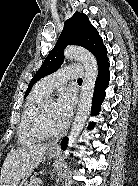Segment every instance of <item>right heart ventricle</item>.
I'll use <instances>...</instances> for the list:
<instances>
[{"label": "right heart ventricle", "mask_w": 138, "mask_h": 186, "mask_svg": "<svg viewBox=\"0 0 138 186\" xmlns=\"http://www.w3.org/2000/svg\"><path fill=\"white\" fill-rule=\"evenodd\" d=\"M49 94L50 93L42 87L40 81L31 91L17 129V141L20 145L29 146L40 140L30 133L28 129V120L33 110L40 104L41 101L47 98Z\"/></svg>", "instance_id": "obj_1"}]
</instances>
